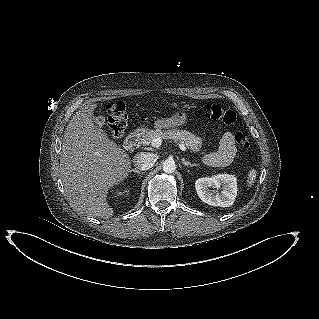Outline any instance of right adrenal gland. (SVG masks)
<instances>
[{
  "instance_id": "1",
  "label": "right adrenal gland",
  "mask_w": 319,
  "mask_h": 319,
  "mask_svg": "<svg viewBox=\"0 0 319 319\" xmlns=\"http://www.w3.org/2000/svg\"><path fill=\"white\" fill-rule=\"evenodd\" d=\"M131 171H132V172H135L136 174H141V175H144V174H145V172H142V171L137 170V169H132Z\"/></svg>"
}]
</instances>
